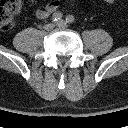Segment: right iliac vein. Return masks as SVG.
Segmentation results:
<instances>
[{"mask_svg": "<svg viewBox=\"0 0 128 128\" xmlns=\"http://www.w3.org/2000/svg\"><path fill=\"white\" fill-rule=\"evenodd\" d=\"M54 27H55V24H53V23H48V24H46V25L44 26V29H45L46 31H51V30H53Z\"/></svg>", "mask_w": 128, "mask_h": 128, "instance_id": "right-iliac-vein-1", "label": "right iliac vein"}]
</instances>
